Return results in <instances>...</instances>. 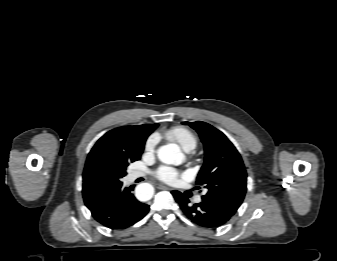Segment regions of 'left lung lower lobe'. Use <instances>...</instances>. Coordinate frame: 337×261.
I'll return each mask as SVG.
<instances>
[{
  "mask_svg": "<svg viewBox=\"0 0 337 261\" xmlns=\"http://www.w3.org/2000/svg\"><path fill=\"white\" fill-rule=\"evenodd\" d=\"M172 194L186 217L201 227L215 229L231 219V216L210 202L202 201L191 205L188 198L179 191H173Z\"/></svg>",
  "mask_w": 337,
  "mask_h": 261,
  "instance_id": "left-lung-lower-lobe-1",
  "label": "left lung lower lobe"
}]
</instances>
